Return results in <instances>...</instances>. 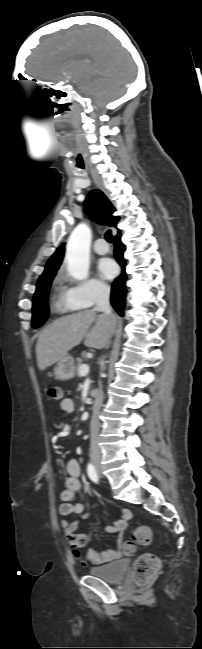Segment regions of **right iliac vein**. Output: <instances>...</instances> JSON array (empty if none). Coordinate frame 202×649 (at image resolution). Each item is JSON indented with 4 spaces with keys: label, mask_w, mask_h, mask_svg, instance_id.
I'll return each instance as SVG.
<instances>
[{
    "label": "right iliac vein",
    "mask_w": 202,
    "mask_h": 649,
    "mask_svg": "<svg viewBox=\"0 0 202 649\" xmlns=\"http://www.w3.org/2000/svg\"><path fill=\"white\" fill-rule=\"evenodd\" d=\"M93 463H94V466L96 467V469H97L99 472H101L102 469H101V465H100V463H99L98 461H94Z\"/></svg>",
    "instance_id": "right-iliac-vein-1"
}]
</instances>
